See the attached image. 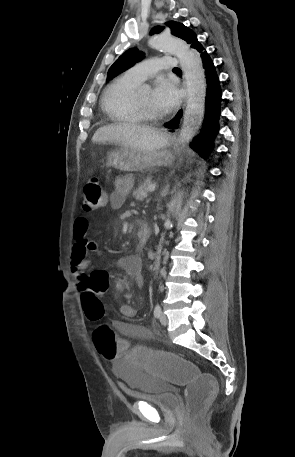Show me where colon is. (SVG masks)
<instances>
[{"label": "colon", "mask_w": 295, "mask_h": 457, "mask_svg": "<svg viewBox=\"0 0 295 457\" xmlns=\"http://www.w3.org/2000/svg\"><path fill=\"white\" fill-rule=\"evenodd\" d=\"M105 193L98 177H90L84 185L82 211L90 213L105 206ZM110 290V277L104 271H93L87 275L82 288V303L86 317L99 322L93 331V341L98 355L103 360L130 361L131 366H142V372H160L168 383H181L185 390L186 412L189 419L196 418L214 395L217 384L216 374H205L198 363H188L187 357H179L178 351H162L160 346H136L132 351L119 330L105 322L104 307L99 296ZM190 378V381H188Z\"/></svg>", "instance_id": "obj_1"}]
</instances>
